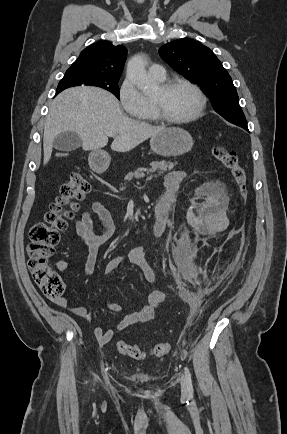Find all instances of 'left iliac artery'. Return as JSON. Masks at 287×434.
<instances>
[{
	"mask_svg": "<svg viewBox=\"0 0 287 434\" xmlns=\"http://www.w3.org/2000/svg\"><path fill=\"white\" fill-rule=\"evenodd\" d=\"M184 370H185V377H186V381H187L188 391H189V394L192 395L193 394V386H192V380H191V373L187 367H185Z\"/></svg>",
	"mask_w": 287,
	"mask_h": 434,
	"instance_id": "left-iliac-artery-1",
	"label": "left iliac artery"
}]
</instances>
